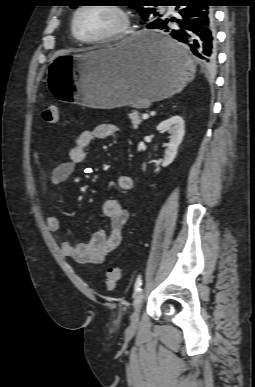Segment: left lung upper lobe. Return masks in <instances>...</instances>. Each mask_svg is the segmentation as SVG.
I'll return each instance as SVG.
<instances>
[{"label": "left lung upper lobe", "instance_id": "obj_1", "mask_svg": "<svg viewBox=\"0 0 255 387\" xmlns=\"http://www.w3.org/2000/svg\"><path fill=\"white\" fill-rule=\"evenodd\" d=\"M173 1L174 0H127L126 2L128 3V6L136 9L140 13L141 17L149 24L163 15L159 14L157 8H148L144 5L150 3L151 5L157 7L159 5L169 4ZM71 7L75 8L76 6Z\"/></svg>", "mask_w": 255, "mask_h": 387}]
</instances>
